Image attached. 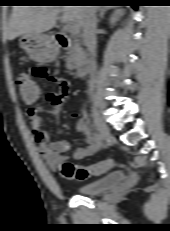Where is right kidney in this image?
Returning <instances> with one entry per match:
<instances>
[{
	"instance_id": "obj_1",
	"label": "right kidney",
	"mask_w": 170,
	"mask_h": 231,
	"mask_svg": "<svg viewBox=\"0 0 170 231\" xmlns=\"http://www.w3.org/2000/svg\"><path fill=\"white\" fill-rule=\"evenodd\" d=\"M120 15H122V12H121V11H116V12L112 15V17H111V19H110V24H111L112 26L115 25V23H116V21L118 20V18H119Z\"/></svg>"
}]
</instances>
